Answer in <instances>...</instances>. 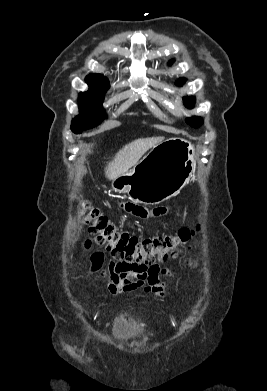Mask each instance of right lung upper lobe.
<instances>
[{
	"instance_id": "1",
	"label": "right lung upper lobe",
	"mask_w": 267,
	"mask_h": 391,
	"mask_svg": "<svg viewBox=\"0 0 267 391\" xmlns=\"http://www.w3.org/2000/svg\"><path fill=\"white\" fill-rule=\"evenodd\" d=\"M86 82L90 90L104 93L109 88V82L106 77L100 74H90L86 77Z\"/></svg>"
}]
</instances>
